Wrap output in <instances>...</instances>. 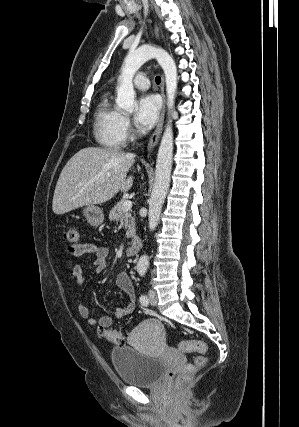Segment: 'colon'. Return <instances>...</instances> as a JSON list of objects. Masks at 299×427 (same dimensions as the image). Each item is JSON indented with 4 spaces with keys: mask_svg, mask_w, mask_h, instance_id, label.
Wrapping results in <instances>:
<instances>
[{
    "mask_svg": "<svg viewBox=\"0 0 299 427\" xmlns=\"http://www.w3.org/2000/svg\"><path fill=\"white\" fill-rule=\"evenodd\" d=\"M63 240L71 245H77L80 242V228L72 226L63 232ZM99 336L116 344H123L126 340V334L114 329L100 328ZM179 350L182 352H199L194 362L185 364L178 372L175 380V389L184 391L190 381L194 378L197 371L203 368L207 362L205 353L207 345L202 341H182L179 343Z\"/></svg>",
    "mask_w": 299,
    "mask_h": 427,
    "instance_id": "colon-1",
    "label": "colon"
}]
</instances>
